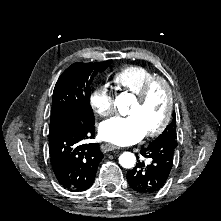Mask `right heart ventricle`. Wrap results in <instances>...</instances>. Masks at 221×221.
<instances>
[{
	"label": "right heart ventricle",
	"instance_id": "1",
	"mask_svg": "<svg viewBox=\"0 0 221 221\" xmlns=\"http://www.w3.org/2000/svg\"><path fill=\"white\" fill-rule=\"evenodd\" d=\"M159 77L158 74L146 67L130 65L116 71L111 77V83L122 91L139 94L147 81Z\"/></svg>",
	"mask_w": 221,
	"mask_h": 221
}]
</instances>
